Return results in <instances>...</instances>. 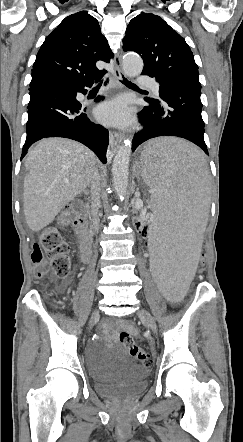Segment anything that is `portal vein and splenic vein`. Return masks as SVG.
Returning a JSON list of instances; mask_svg holds the SVG:
<instances>
[{"label":"portal vein and splenic vein","mask_w":243,"mask_h":442,"mask_svg":"<svg viewBox=\"0 0 243 442\" xmlns=\"http://www.w3.org/2000/svg\"><path fill=\"white\" fill-rule=\"evenodd\" d=\"M65 182L68 183V180L66 179Z\"/></svg>","instance_id":"obj_1"}]
</instances>
